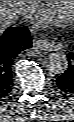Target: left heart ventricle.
<instances>
[{
    "mask_svg": "<svg viewBox=\"0 0 74 122\" xmlns=\"http://www.w3.org/2000/svg\"><path fill=\"white\" fill-rule=\"evenodd\" d=\"M74 1H55L52 10L56 15L67 18L73 7Z\"/></svg>",
    "mask_w": 74,
    "mask_h": 122,
    "instance_id": "b2bd125f",
    "label": "left heart ventricle"
}]
</instances>
